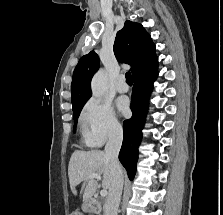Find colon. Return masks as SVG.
<instances>
[{
    "label": "colon",
    "instance_id": "1",
    "mask_svg": "<svg viewBox=\"0 0 223 215\" xmlns=\"http://www.w3.org/2000/svg\"><path fill=\"white\" fill-rule=\"evenodd\" d=\"M69 215H83V214L78 210H73L69 213Z\"/></svg>",
    "mask_w": 223,
    "mask_h": 215
}]
</instances>
